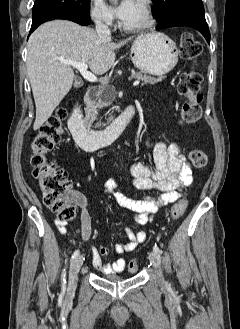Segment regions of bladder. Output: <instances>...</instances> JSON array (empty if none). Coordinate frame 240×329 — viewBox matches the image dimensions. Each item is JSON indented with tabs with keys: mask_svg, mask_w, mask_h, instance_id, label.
<instances>
[{
	"mask_svg": "<svg viewBox=\"0 0 240 329\" xmlns=\"http://www.w3.org/2000/svg\"><path fill=\"white\" fill-rule=\"evenodd\" d=\"M109 280H111V281H120V280H122V277H110Z\"/></svg>",
	"mask_w": 240,
	"mask_h": 329,
	"instance_id": "31cf9c89",
	"label": "bladder"
}]
</instances>
